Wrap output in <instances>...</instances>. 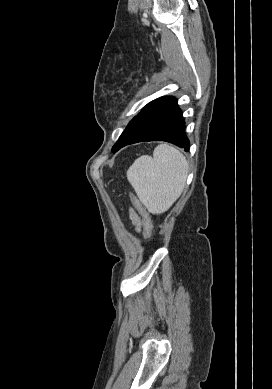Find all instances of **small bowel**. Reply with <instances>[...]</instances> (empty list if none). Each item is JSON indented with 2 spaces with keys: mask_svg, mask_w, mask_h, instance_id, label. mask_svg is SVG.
<instances>
[{
  "mask_svg": "<svg viewBox=\"0 0 272 389\" xmlns=\"http://www.w3.org/2000/svg\"><path fill=\"white\" fill-rule=\"evenodd\" d=\"M130 218H131L132 223L135 226L136 230L140 231L142 228V220H141V217L139 216V214L137 212H135L134 210H131L130 211Z\"/></svg>",
  "mask_w": 272,
  "mask_h": 389,
  "instance_id": "1",
  "label": "small bowel"
}]
</instances>
